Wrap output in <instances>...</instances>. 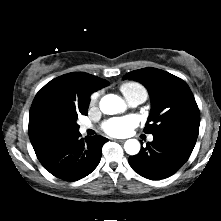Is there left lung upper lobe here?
Returning <instances> with one entry per match:
<instances>
[{
    "label": "left lung upper lobe",
    "mask_w": 221,
    "mask_h": 221,
    "mask_svg": "<svg viewBox=\"0 0 221 221\" xmlns=\"http://www.w3.org/2000/svg\"><path fill=\"white\" fill-rule=\"evenodd\" d=\"M126 78L142 83L149 91L152 107L145 133L177 131L197 139L200 112L186 82L151 67L129 72Z\"/></svg>",
    "instance_id": "obj_1"
}]
</instances>
